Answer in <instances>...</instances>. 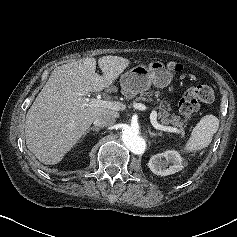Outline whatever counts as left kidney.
Returning <instances> with one entry per match:
<instances>
[{
    "label": "left kidney",
    "instance_id": "obj_1",
    "mask_svg": "<svg viewBox=\"0 0 237 237\" xmlns=\"http://www.w3.org/2000/svg\"><path fill=\"white\" fill-rule=\"evenodd\" d=\"M150 170L161 176H167L183 169V160L175 150H169L164 154L153 155L148 163Z\"/></svg>",
    "mask_w": 237,
    "mask_h": 237
}]
</instances>
